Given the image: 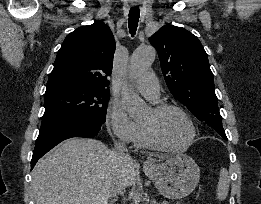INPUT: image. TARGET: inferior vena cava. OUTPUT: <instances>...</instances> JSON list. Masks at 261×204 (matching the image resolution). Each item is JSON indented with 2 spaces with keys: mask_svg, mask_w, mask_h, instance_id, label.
<instances>
[{
  "mask_svg": "<svg viewBox=\"0 0 261 204\" xmlns=\"http://www.w3.org/2000/svg\"><path fill=\"white\" fill-rule=\"evenodd\" d=\"M114 155L116 158V163L119 167H121L130 158V156L127 154L126 146L123 143L117 141L114 142ZM124 191V183L119 178H116L111 185L110 195L116 197L119 194L123 195Z\"/></svg>",
  "mask_w": 261,
  "mask_h": 204,
  "instance_id": "obj_1",
  "label": "inferior vena cava"
}]
</instances>
